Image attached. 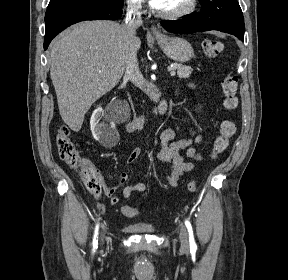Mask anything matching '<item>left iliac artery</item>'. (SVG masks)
<instances>
[{"label":"left iliac artery","instance_id":"44dca946","mask_svg":"<svg viewBox=\"0 0 288 280\" xmlns=\"http://www.w3.org/2000/svg\"><path fill=\"white\" fill-rule=\"evenodd\" d=\"M185 225H186V228H187L188 233H189L190 249L192 251H196L197 245H196L195 240H194L193 229H192L191 223L188 220H185Z\"/></svg>","mask_w":288,"mask_h":280}]
</instances>
